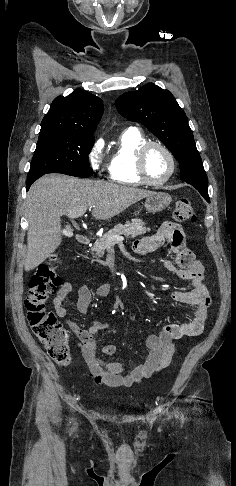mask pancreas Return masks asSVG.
I'll return each mask as SVG.
<instances>
[{
    "instance_id": "pancreas-1",
    "label": "pancreas",
    "mask_w": 236,
    "mask_h": 486,
    "mask_svg": "<svg viewBox=\"0 0 236 486\" xmlns=\"http://www.w3.org/2000/svg\"><path fill=\"white\" fill-rule=\"evenodd\" d=\"M147 231H150V229L144 227V223L138 219H132L131 222L128 221L124 225L118 224L95 242V244L91 248L92 254L102 257L105 250L110 249L117 243L111 240V237L113 236L125 235L126 237L130 236L134 238L140 235H144Z\"/></svg>"
}]
</instances>
